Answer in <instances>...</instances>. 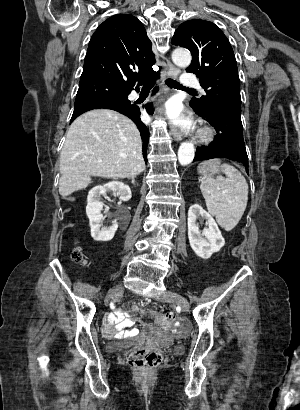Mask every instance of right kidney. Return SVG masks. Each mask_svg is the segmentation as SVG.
Listing matches in <instances>:
<instances>
[{
    "instance_id": "right-kidney-1",
    "label": "right kidney",
    "mask_w": 300,
    "mask_h": 410,
    "mask_svg": "<svg viewBox=\"0 0 300 410\" xmlns=\"http://www.w3.org/2000/svg\"><path fill=\"white\" fill-rule=\"evenodd\" d=\"M107 192H112L120 201L126 202L131 199L132 193L128 185L120 181H111L103 185L92 188L87 196L86 214L89 218L91 236L96 241H110L118 229L117 220H113L110 226H103V215L101 210L103 203L101 197L106 196Z\"/></svg>"
}]
</instances>
